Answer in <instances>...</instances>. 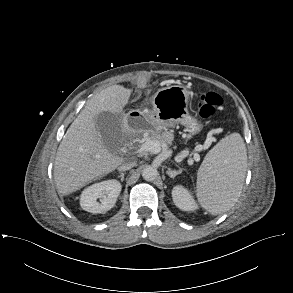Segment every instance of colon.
Listing matches in <instances>:
<instances>
[{"label":"colon","instance_id":"colon-1","mask_svg":"<svg viewBox=\"0 0 293 293\" xmlns=\"http://www.w3.org/2000/svg\"><path fill=\"white\" fill-rule=\"evenodd\" d=\"M223 98L215 92L198 93L195 108L202 118H211L222 107Z\"/></svg>","mask_w":293,"mask_h":293}]
</instances>
